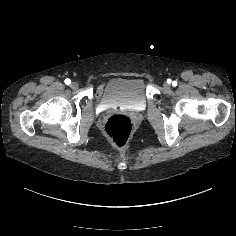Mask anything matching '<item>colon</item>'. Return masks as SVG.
<instances>
[{
  "label": "colon",
  "mask_w": 236,
  "mask_h": 236,
  "mask_svg": "<svg viewBox=\"0 0 236 236\" xmlns=\"http://www.w3.org/2000/svg\"><path fill=\"white\" fill-rule=\"evenodd\" d=\"M133 128V122L129 116L115 114L105 123V134L116 147L122 148L128 143Z\"/></svg>",
  "instance_id": "5ec220e1"
}]
</instances>
